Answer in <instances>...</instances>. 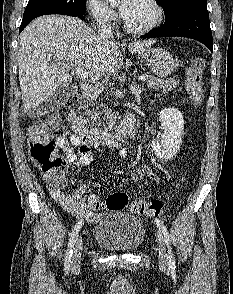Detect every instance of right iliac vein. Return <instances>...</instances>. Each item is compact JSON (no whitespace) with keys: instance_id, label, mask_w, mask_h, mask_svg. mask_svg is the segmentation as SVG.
<instances>
[{"instance_id":"63e3f726","label":"right iliac vein","mask_w":233,"mask_h":294,"mask_svg":"<svg viewBox=\"0 0 233 294\" xmlns=\"http://www.w3.org/2000/svg\"><path fill=\"white\" fill-rule=\"evenodd\" d=\"M82 244H83L82 238L79 237L76 240L75 246L73 248V253H72L71 265H72L73 270L78 269L80 266Z\"/></svg>"}]
</instances>
